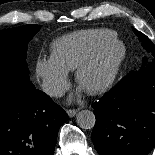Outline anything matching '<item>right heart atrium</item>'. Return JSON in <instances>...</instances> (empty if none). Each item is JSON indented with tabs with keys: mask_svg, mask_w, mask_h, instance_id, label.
I'll use <instances>...</instances> for the list:
<instances>
[{
	"mask_svg": "<svg viewBox=\"0 0 155 155\" xmlns=\"http://www.w3.org/2000/svg\"><path fill=\"white\" fill-rule=\"evenodd\" d=\"M36 75L43 90L50 96H61L68 87V71L53 57H39L36 62Z\"/></svg>",
	"mask_w": 155,
	"mask_h": 155,
	"instance_id": "obj_1",
	"label": "right heart atrium"
}]
</instances>
